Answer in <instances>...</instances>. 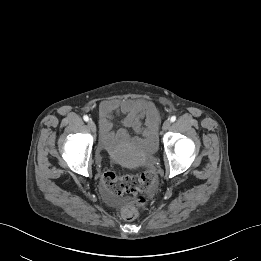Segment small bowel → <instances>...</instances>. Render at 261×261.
I'll return each instance as SVG.
<instances>
[{
    "label": "small bowel",
    "mask_w": 261,
    "mask_h": 261,
    "mask_svg": "<svg viewBox=\"0 0 261 261\" xmlns=\"http://www.w3.org/2000/svg\"><path fill=\"white\" fill-rule=\"evenodd\" d=\"M118 114H124L123 126L137 131L142 128L141 120L144 118L146 134L151 135H154L160 121L159 112L151 102L131 99L104 100L97 108V115L101 133L105 139L110 138L114 134L112 132L113 118ZM116 133L124 134V130H119Z\"/></svg>",
    "instance_id": "c3829d8e"
}]
</instances>
